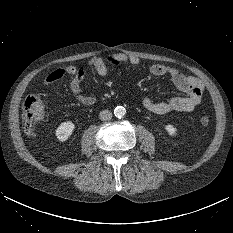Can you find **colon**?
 <instances>
[{
    "mask_svg": "<svg viewBox=\"0 0 233 233\" xmlns=\"http://www.w3.org/2000/svg\"><path fill=\"white\" fill-rule=\"evenodd\" d=\"M44 105L40 96L36 94L29 95L25 98L22 108V121L24 131L29 135H34L37 124L43 119ZM202 126H208L210 119L207 116L200 118Z\"/></svg>",
    "mask_w": 233,
    "mask_h": 233,
    "instance_id": "1",
    "label": "colon"
}]
</instances>
